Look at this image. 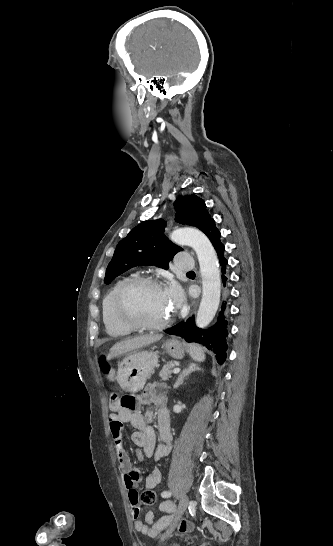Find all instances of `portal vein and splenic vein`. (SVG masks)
Returning a JSON list of instances; mask_svg holds the SVG:
<instances>
[{"instance_id":"18ae733b","label":"portal vein and splenic vein","mask_w":333,"mask_h":546,"mask_svg":"<svg viewBox=\"0 0 333 546\" xmlns=\"http://www.w3.org/2000/svg\"><path fill=\"white\" fill-rule=\"evenodd\" d=\"M179 372H180V368H174V369H173V373H174V374H178Z\"/></svg>"}]
</instances>
